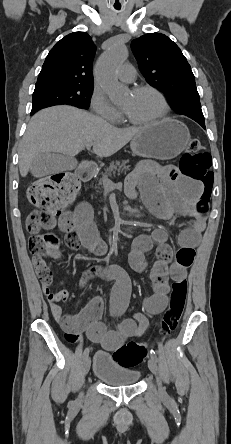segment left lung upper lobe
I'll return each mask as SVG.
<instances>
[{"label":"left lung upper lobe","instance_id":"obj_1","mask_svg":"<svg viewBox=\"0 0 231 444\" xmlns=\"http://www.w3.org/2000/svg\"><path fill=\"white\" fill-rule=\"evenodd\" d=\"M131 48L146 81L165 93L176 113L204 120L191 67L169 37L146 34L133 40Z\"/></svg>","mask_w":231,"mask_h":444}]
</instances>
